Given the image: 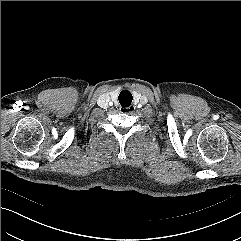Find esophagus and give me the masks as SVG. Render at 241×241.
<instances>
[{
  "label": "esophagus",
  "mask_w": 241,
  "mask_h": 241,
  "mask_svg": "<svg viewBox=\"0 0 241 241\" xmlns=\"http://www.w3.org/2000/svg\"><path fill=\"white\" fill-rule=\"evenodd\" d=\"M136 107L134 105H130L129 107L122 108L121 110L125 113L131 114L135 111Z\"/></svg>",
  "instance_id": "1"
}]
</instances>
